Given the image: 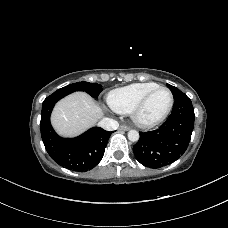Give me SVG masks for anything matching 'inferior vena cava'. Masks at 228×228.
Masks as SVG:
<instances>
[{"instance_id":"602c4592","label":"inferior vena cava","mask_w":228,"mask_h":228,"mask_svg":"<svg viewBox=\"0 0 228 228\" xmlns=\"http://www.w3.org/2000/svg\"><path fill=\"white\" fill-rule=\"evenodd\" d=\"M98 126L104 130L113 131L119 127V123L112 118H103L99 121Z\"/></svg>"}]
</instances>
